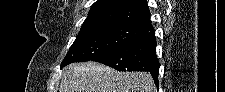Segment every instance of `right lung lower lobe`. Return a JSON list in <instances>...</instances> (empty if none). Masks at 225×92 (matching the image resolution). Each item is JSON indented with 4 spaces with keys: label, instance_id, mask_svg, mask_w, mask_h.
<instances>
[{
    "label": "right lung lower lobe",
    "instance_id": "right-lung-lower-lobe-1",
    "mask_svg": "<svg viewBox=\"0 0 225 92\" xmlns=\"http://www.w3.org/2000/svg\"><path fill=\"white\" fill-rule=\"evenodd\" d=\"M96 61L119 71H149L158 85L159 61L156 56V37L151 30L139 38L102 53Z\"/></svg>",
    "mask_w": 225,
    "mask_h": 92
}]
</instances>
